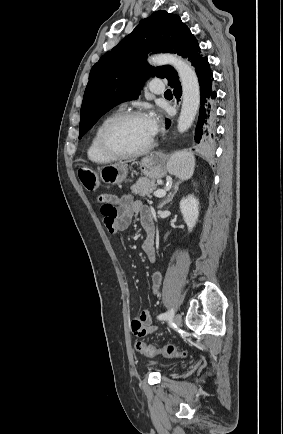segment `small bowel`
Returning a JSON list of instances; mask_svg holds the SVG:
<instances>
[{"mask_svg":"<svg viewBox=\"0 0 283 434\" xmlns=\"http://www.w3.org/2000/svg\"><path fill=\"white\" fill-rule=\"evenodd\" d=\"M98 204L104 217V224L110 233L118 234L124 231L135 216H139L145 229L147 226H152L150 210L142 202L133 200L130 195L121 198L114 195H101ZM142 250L151 262H157L158 257L153 242L145 240ZM161 282L162 274L156 271L152 276V288L155 294L158 293ZM155 329L153 316L149 310L142 311L131 322V331L135 336H144Z\"/></svg>","mask_w":283,"mask_h":434,"instance_id":"small-bowel-1","label":"small bowel"}]
</instances>
